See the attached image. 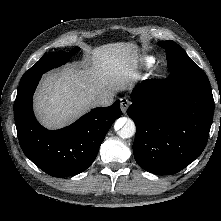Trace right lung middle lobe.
I'll use <instances>...</instances> for the list:
<instances>
[{
  "label": "right lung middle lobe",
  "mask_w": 221,
  "mask_h": 221,
  "mask_svg": "<svg viewBox=\"0 0 221 221\" xmlns=\"http://www.w3.org/2000/svg\"><path fill=\"white\" fill-rule=\"evenodd\" d=\"M79 50L80 48L76 47L73 49V52H53L45 55L33 67L25 72L20 82L31 79L37 75H42L50 69L65 64L72 56V54Z\"/></svg>",
  "instance_id": "right-lung-middle-lobe-1"
}]
</instances>
